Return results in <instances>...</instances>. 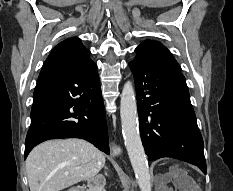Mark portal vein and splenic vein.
<instances>
[{"mask_svg": "<svg viewBox=\"0 0 233 191\" xmlns=\"http://www.w3.org/2000/svg\"><path fill=\"white\" fill-rule=\"evenodd\" d=\"M64 174H65V175H68L69 173H68V172H65Z\"/></svg>", "mask_w": 233, "mask_h": 191, "instance_id": "portal-vein-and-splenic-vein-1", "label": "portal vein and splenic vein"}]
</instances>
